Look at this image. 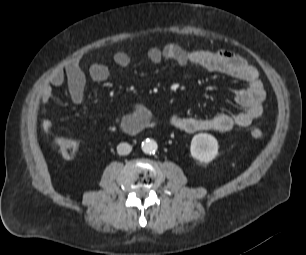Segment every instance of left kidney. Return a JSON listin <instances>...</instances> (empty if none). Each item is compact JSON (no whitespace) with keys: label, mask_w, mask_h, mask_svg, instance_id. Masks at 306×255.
<instances>
[{"label":"left kidney","mask_w":306,"mask_h":255,"mask_svg":"<svg viewBox=\"0 0 306 255\" xmlns=\"http://www.w3.org/2000/svg\"><path fill=\"white\" fill-rule=\"evenodd\" d=\"M190 152L194 159L208 163L218 154V142L210 134L199 133L192 138Z\"/></svg>","instance_id":"obj_1"}]
</instances>
